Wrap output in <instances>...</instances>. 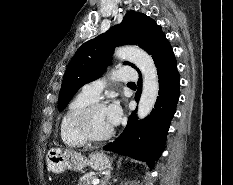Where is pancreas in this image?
<instances>
[{"label":"pancreas","instance_id":"1","mask_svg":"<svg viewBox=\"0 0 233 185\" xmlns=\"http://www.w3.org/2000/svg\"><path fill=\"white\" fill-rule=\"evenodd\" d=\"M96 176H92L90 174H86L82 176L78 182L77 185H91L93 179H95Z\"/></svg>","mask_w":233,"mask_h":185}]
</instances>
